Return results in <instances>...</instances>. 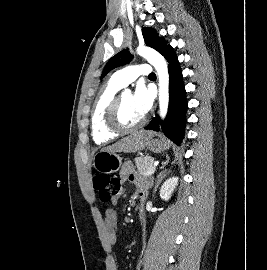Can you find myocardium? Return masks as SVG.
Segmentation results:
<instances>
[{"instance_id": "myocardium-1", "label": "myocardium", "mask_w": 267, "mask_h": 270, "mask_svg": "<svg viewBox=\"0 0 267 270\" xmlns=\"http://www.w3.org/2000/svg\"><path fill=\"white\" fill-rule=\"evenodd\" d=\"M121 98H122L121 95H118L114 98V100L109 106V109L106 115L107 127L111 131L119 133V134L133 132L141 128L146 122V119L143 116L142 119L134 125L128 126V125L123 124L120 118Z\"/></svg>"}]
</instances>
